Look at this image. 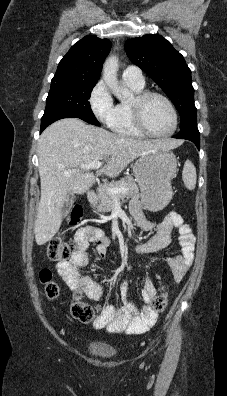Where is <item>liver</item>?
Here are the masks:
<instances>
[{
  "label": "liver",
  "instance_id": "6515ba94",
  "mask_svg": "<svg viewBox=\"0 0 227 396\" xmlns=\"http://www.w3.org/2000/svg\"><path fill=\"white\" fill-rule=\"evenodd\" d=\"M172 140H140L118 136L78 118L61 119L41 134L38 141L41 198L34 224L37 245L48 242L59 231L61 208L69 194H82L95 182L93 173L81 165L104 160L98 172L111 178L141 154L157 148L173 149ZM76 170L71 176L65 172Z\"/></svg>",
  "mask_w": 227,
  "mask_h": 396
}]
</instances>
